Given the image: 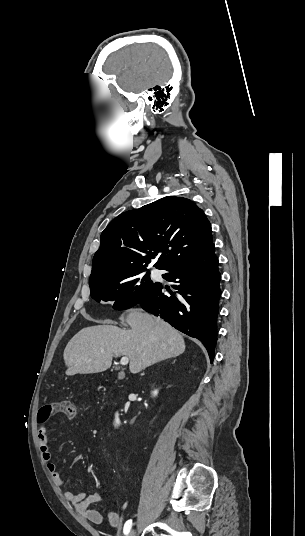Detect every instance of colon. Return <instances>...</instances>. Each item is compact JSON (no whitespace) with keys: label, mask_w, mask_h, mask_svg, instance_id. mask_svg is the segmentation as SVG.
Returning a JSON list of instances; mask_svg holds the SVG:
<instances>
[{"label":"colon","mask_w":305,"mask_h":536,"mask_svg":"<svg viewBox=\"0 0 305 536\" xmlns=\"http://www.w3.org/2000/svg\"><path fill=\"white\" fill-rule=\"evenodd\" d=\"M54 414L73 418L75 416L74 405L70 401H59L53 405L47 406L43 411L37 414V424H47L45 419L50 417L53 421Z\"/></svg>","instance_id":"5ec220e1"}]
</instances>
